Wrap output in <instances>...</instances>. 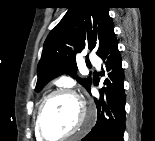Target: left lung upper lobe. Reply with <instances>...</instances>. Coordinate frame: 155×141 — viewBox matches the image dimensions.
<instances>
[{"label":"left lung upper lobe","mask_w":155,"mask_h":141,"mask_svg":"<svg viewBox=\"0 0 155 141\" xmlns=\"http://www.w3.org/2000/svg\"><path fill=\"white\" fill-rule=\"evenodd\" d=\"M115 35L114 26L104 0H72L67 13L47 36L37 67L36 91L52 78L65 72L76 78V54L84 48L96 49L99 56L109 39ZM77 81L90 89L92 79Z\"/></svg>","instance_id":"1"}]
</instances>
